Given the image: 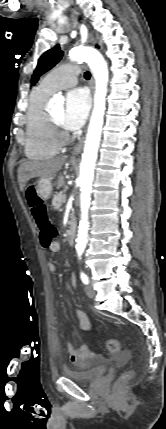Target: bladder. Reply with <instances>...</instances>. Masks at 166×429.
Segmentation results:
<instances>
[{"label": "bladder", "mask_w": 166, "mask_h": 429, "mask_svg": "<svg viewBox=\"0 0 166 429\" xmlns=\"http://www.w3.org/2000/svg\"><path fill=\"white\" fill-rule=\"evenodd\" d=\"M107 369V366H97L85 370L64 368L63 374L76 382L89 383L103 377Z\"/></svg>", "instance_id": "obj_1"}]
</instances>
